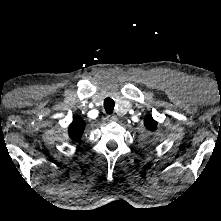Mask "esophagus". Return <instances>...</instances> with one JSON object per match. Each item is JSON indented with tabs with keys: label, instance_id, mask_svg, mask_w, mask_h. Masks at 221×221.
Here are the masks:
<instances>
[{
	"label": "esophagus",
	"instance_id": "obj_1",
	"mask_svg": "<svg viewBox=\"0 0 221 221\" xmlns=\"http://www.w3.org/2000/svg\"><path fill=\"white\" fill-rule=\"evenodd\" d=\"M107 120H108L109 122H117V121H118V118H117L116 115H108V116H107Z\"/></svg>",
	"mask_w": 221,
	"mask_h": 221
}]
</instances>
